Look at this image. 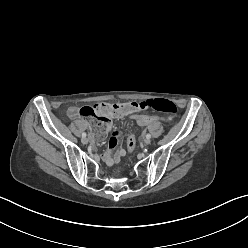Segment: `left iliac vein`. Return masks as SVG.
Here are the masks:
<instances>
[{
    "label": "left iliac vein",
    "instance_id": "1",
    "mask_svg": "<svg viewBox=\"0 0 248 248\" xmlns=\"http://www.w3.org/2000/svg\"><path fill=\"white\" fill-rule=\"evenodd\" d=\"M144 143H145L146 145H149V144L151 143V140L148 139V138H146V139H144Z\"/></svg>",
    "mask_w": 248,
    "mask_h": 248
}]
</instances>
